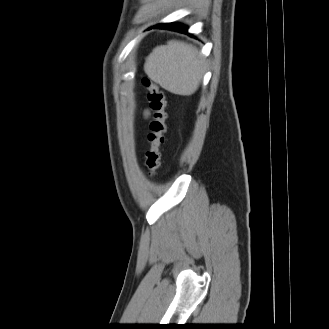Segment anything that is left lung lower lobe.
<instances>
[{"label":"left lung lower lobe","mask_w":329,"mask_h":329,"mask_svg":"<svg viewBox=\"0 0 329 329\" xmlns=\"http://www.w3.org/2000/svg\"><path fill=\"white\" fill-rule=\"evenodd\" d=\"M153 28L168 29V30L177 31V32H180V33H186V34H187V29H188L187 27H185V26H183L179 23H169V24L156 25Z\"/></svg>","instance_id":"0a47b994"}]
</instances>
